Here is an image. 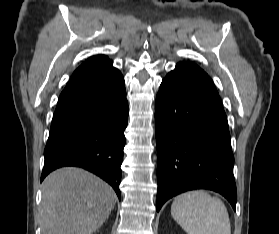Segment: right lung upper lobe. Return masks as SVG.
Wrapping results in <instances>:
<instances>
[{
    "instance_id": "obj_1",
    "label": "right lung upper lobe",
    "mask_w": 279,
    "mask_h": 234,
    "mask_svg": "<svg viewBox=\"0 0 279 234\" xmlns=\"http://www.w3.org/2000/svg\"><path fill=\"white\" fill-rule=\"evenodd\" d=\"M112 63V60H110L105 55H96L92 56L89 59H87L84 63L81 64L73 73L71 76L69 82L80 80L84 77L90 76L104 67L108 66ZM68 82V83H69Z\"/></svg>"
}]
</instances>
